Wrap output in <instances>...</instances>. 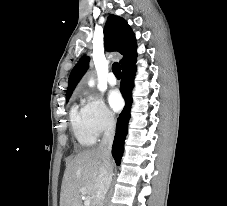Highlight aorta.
Returning <instances> with one entry per match:
<instances>
[{"mask_svg": "<svg viewBox=\"0 0 227 206\" xmlns=\"http://www.w3.org/2000/svg\"><path fill=\"white\" fill-rule=\"evenodd\" d=\"M88 85H89L90 87L94 86V85H95V81L91 78V79L89 80V82H88Z\"/></svg>", "mask_w": 227, "mask_h": 206, "instance_id": "aorta-1", "label": "aorta"}]
</instances>
